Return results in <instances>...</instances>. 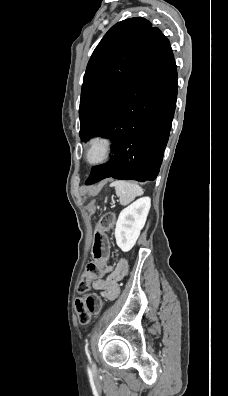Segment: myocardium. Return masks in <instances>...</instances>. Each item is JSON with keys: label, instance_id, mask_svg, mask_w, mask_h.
<instances>
[{"label": "myocardium", "instance_id": "1", "mask_svg": "<svg viewBox=\"0 0 228 396\" xmlns=\"http://www.w3.org/2000/svg\"><path fill=\"white\" fill-rule=\"evenodd\" d=\"M112 141L106 136L98 135L93 137L88 144L86 150V160L91 165H101L108 161L112 154ZM95 150L99 151L97 156L93 153Z\"/></svg>", "mask_w": 228, "mask_h": 396}]
</instances>
